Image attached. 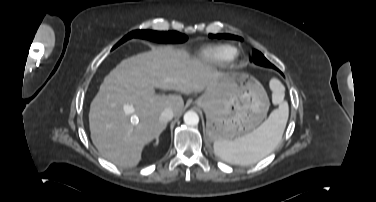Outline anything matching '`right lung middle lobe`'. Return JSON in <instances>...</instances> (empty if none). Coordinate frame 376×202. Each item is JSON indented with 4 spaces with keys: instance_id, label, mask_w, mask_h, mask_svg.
Listing matches in <instances>:
<instances>
[{
    "instance_id": "obj_1",
    "label": "right lung middle lobe",
    "mask_w": 376,
    "mask_h": 202,
    "mask_svg": "<svg viewBox=\"0 0 376 202\" xmlns=\"http://www.w3.org/2000/svg\"><path fill=\"white\" fill-rule=\"evenodd\" d=\"M145 38L151 41L156 42H165V43H182L187 40V37L184 34H181L177 31H168V32H159L152 30H136L127 34L121 41H119L114 47H117L121 43L127 41L131 38Z\"/></svg>"
}]
</instances>
